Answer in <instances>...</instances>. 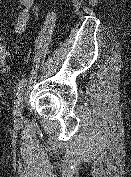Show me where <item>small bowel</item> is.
I'll use <instances>...</instances> for the list:
<instances>
[{
    "mask_svg": "<svg viewBox=\"0 0 131 177\" xmlns=\"http://www.w3.org/2000/svg\"><path fill=\"white\" fill-rule=\"evenodd\" d=\"M21 7L13 28L14 33L22 34L25 32L27 23L30 18V10L34 4V0H18Z\"/></svg>",
    "mask_w": 131,
    "mask_h": 177,
    "instance_id": "obj_1",
    "label": "small bowel"
}]
</instances>
